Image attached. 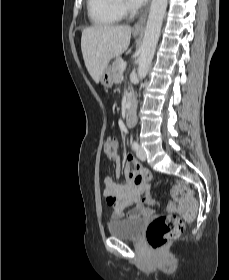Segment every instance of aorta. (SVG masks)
Returning a JSON list of instances; mask_svg holds the SVG:
<instances>
[{
  "label": "aorta",
  "instance_id": "aorta-1",
  "mask_svg": "<svg viewBox=\"0 0 229 280\" xmlns=\"http://www.w3.org/2000/svg\"><path fill=\"white\" fill-rule=\"evenodd\" d=\"M167 3L168 0H152L138 59V76L141 80L146 77L151 65L159 40Z\"/></svg>",
  "mask_w": 229,
  "mask_h": 280
}]
</instances>
